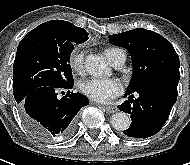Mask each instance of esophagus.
<instances>
[{"instance_id": "esophagus-1", "label": "esophagus", "mask_w": 190, "mask_h": 165, "mask_svg": "<svg viewBox=\"0 0 190 165\" xmlns=\"http://www.w3.org/2000/svg\"><path fill=\"white\" fill-rule=\"evenodd\" d=\"M107 112L109 113H115L117 112V108L114 106H102Z\"/></svg>"}]
</instances>
